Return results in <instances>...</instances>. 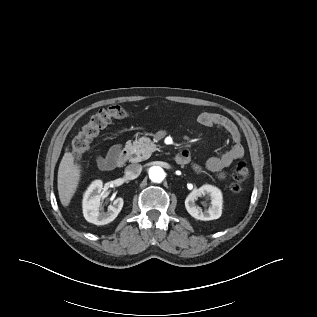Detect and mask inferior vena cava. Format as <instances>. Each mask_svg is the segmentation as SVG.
I'll return each instance as SVG.
<instances>
[{
    "mask_svg": "<svg viewBox=\"0 0 317 317\" xmlns=\"http://www.w3.org/2000/svg\"><path fill=\"white\" fill-rule=\"evenodd\" d=\"M142 171V165L140 164H130L125 169V175L129 179H135L139 176Z\"/></svg>",
    "mask_w": 317,
    "mask_h": 317,
    "instance_id": "602c4592",
    "label": "inferior vena cava"
}]
</instances>
